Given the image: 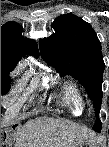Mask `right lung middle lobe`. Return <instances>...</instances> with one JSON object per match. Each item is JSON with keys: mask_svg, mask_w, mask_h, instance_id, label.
I'll list each match as a JSON object with an SVG mask.
<instances>
[{"mask_svg": "<svg viewBox=\"0 0 109 147\" xmlns=\"http://www.w3.org/2000/svg\"><path fill=\"white\" fill-rule=\"evenodd\" d=\"M13 70V67H1V93H6L10 88L11 81L8 74Z\"/></svg>", "mask_w": 109, "mask_h": 147, "instance_id": "right-lung-middle-lobe-1", "label": "right lung middle lobe"}]
</instances>
